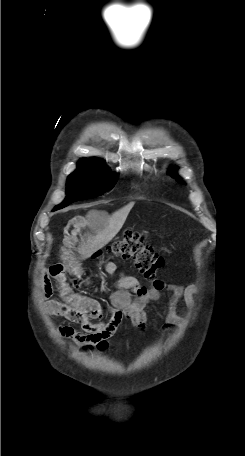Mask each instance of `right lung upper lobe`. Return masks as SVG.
<instances>
[{
    "mask_svg": "<svg viewBox=\"0 0 245 456\" xmlns=\"http://www.w3.org/2000/svg\"><path fill=\"white\" fill-rule=\"evenodd\" d=\"M96 165H102V164H100L96 160L88 159V158L81 159L78 164V166H96Z\"/></svg>",
    "mask_w": 245,
    "mask_h": 456,
    "instance_id": "1",
    "label": "right lung upper lobe"
}]
</instances>
